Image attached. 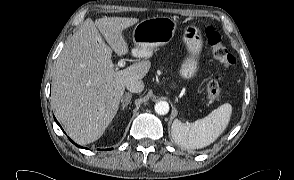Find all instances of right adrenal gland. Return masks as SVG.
Segmentation results:
<instances>
[{"instance_id": "1", "label": "right adrenal gland", "mask_w": 294, "mask_h": 180, "mask_svg": "<svg viewBox=\"0 0 294 180\" xmlns=\"http://www.w3.org/2000/svg\"><path fill=\"white\" fill-rule=\"evenodd\" d=\"M132 94L131 93H125V95L122 97V109L127 107L131 102Z\"/></svg>"}]
</instances>
